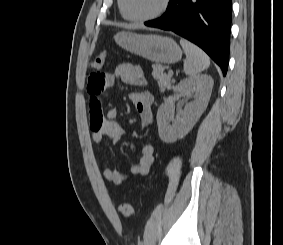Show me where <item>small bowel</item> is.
<instances>
[{
	"instance_id": "c3829d8e",
	"label": "small bowel",
	"mask_w": 283,
	"mask_h": 245,
	"mask_svg": "<svg viewBox=\"0 0 283 245\" xmlns=\"http://www.w3.org/2000/svg\"><path fill=\"white\" fill-rule=\"evenodd\" d=\"M136 86H146L147 76L140 66L130 63L119 64L114 73L94 72L90 74L87 81V91L90 94V129L91 141L97 145L103 142L105 137L114 142L119 141L124 135V129L117 122V109L111 107L103 113L98 95L104 90L112 87L116 81ZM130 100L134 103L143 128H150L154 124L152 105L154 96L150 90L131 92ZM154 162V148L150 144L142 147L139 163L129 168V175H147ZM100 175L109 182L121 184L127 175L110 166L100 170Z\"/></svg>"
}]
</instances>
